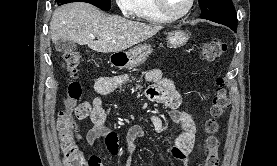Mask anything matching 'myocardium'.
I'll list each match as a JSON object with an SVG mask.
<instances>
[{"label":"myocardium","mask_w":277,"mask_h":166,"mask_svg":"<svg viewBox=\"0 0 277 166\" xmlns=\"http://www.w3.org/2000/svg\"><path fill=\"white\" fill-rule=\"evenodd\" d=\"M155 2H156V6H157L159 12L166 19H168L170 21H176V20H179V19L185 17L186 15H188L190 13V11L192 10V8L194 6L195 0H188L186 8L183 11H181L180 13H177V14L171 13L168 10L165 0H155Z\"/></svg>","instance_id":"f54148a6"}]
</instances>
